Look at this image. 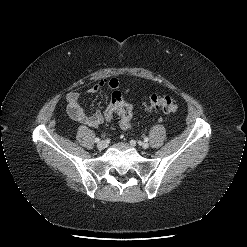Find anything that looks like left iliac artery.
Returning a JSON list of instances; mask_svg holds the SVG:
<instances>
[{
  "label": "left iliac artery",
  "mask_w": 247,
  "mask_h": 247,
  "mask_svg": "<svg viewBox=\"0 0 247 247\" xmlns=\"http://www.w3.org/2000/svg\"><path fill=\"white\" fill-rule=\"evenodd\" d=\"M145 142L149 141V138L148 137H145L144 138Z\"/></svg>",
  "instance_id": "1"
}]
</instances>
